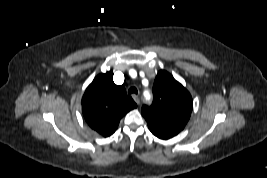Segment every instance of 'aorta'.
<instances>
[{"label":"aorta","instance_id":"aorta-1","mask_svg":"<svg viewBox=\"0 0 267 178\" xmlns=\"http://www.w3.org/2000/svg\"><path fill=\"white\" fill-rule=\"evenodd\" d=\"M145 99L147 100V101H150L151 100V95H150V93L149 92H145Z\"/></svg>","mask_w":267,"mask_h":178}]
</instances>
